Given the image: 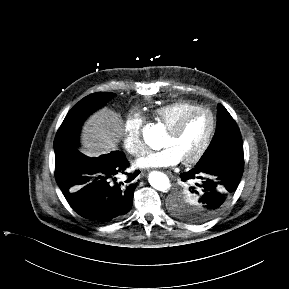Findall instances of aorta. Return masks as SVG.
Here are the masks:
<instances>
[{"label":"aorta","mask_w":289,"mask_h":289,"mask_svg":"<svg viewBox=\"0 0 289 289\" xmlns=\"http://www.w3.org/2000/svg\"><path fill=\"white\" fill-rule=\"evenodd\" d=\"M143 138L153 149H159L162 145L161 130L158 125L147 126L143 130ZM148 180L150 185L158 191L166 192L171 186L169 178L162 172H151Z\"/></svg>","instance_id":"762f6f07"}]
</instances>
